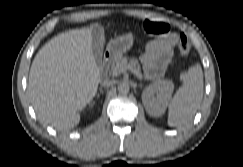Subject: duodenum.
I'll return each mask as SVG.
<instances>
[{
  "mask_svg": "<svg viewBox=\"0 0 243 167\" xmlns=\"http://www.w3.org/2000/svg\"><path fill=\"white\" fill-rule=\"evenodd\" d=\"M112 57H113V54L111 52H106L105 53L104 58H103V62L100 65V74L102 76L105 75V71H106L107 65H108L109 61L112 59Z\"/></svg>",
  "mask_w": 243,
  "mask_h": 167,
  "instance_id": "1",
  "label": "duodenum"
}]
</instances>
